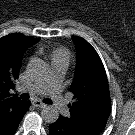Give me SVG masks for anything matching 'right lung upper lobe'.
Listing matches in <instances>:
<instances>
[{
  "label": "right lung upper lobe",
  "mask_w": 135,
  "mask_h": 135,
  "mask_svg": "<svg viewBox=\"0 0 135 135\" xmlns=\"http://www.w3.org/2000/svg\"><path fill=\"white\" fill-rule=\"evenodd\" d=\"M40 38H32L20 34H9L0 38V109L22 103L17 97H11L9 90L13 81L18 78L25 50L37 43Z\"/></svg>",
  "instance_id": "obj_1"
}]
</instances>
